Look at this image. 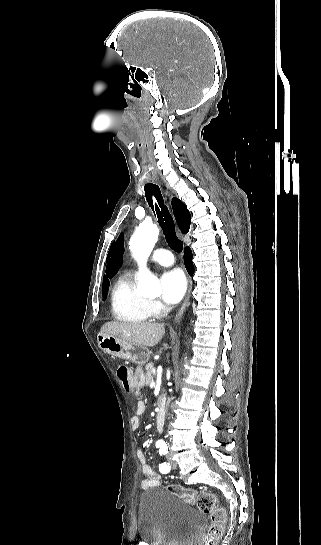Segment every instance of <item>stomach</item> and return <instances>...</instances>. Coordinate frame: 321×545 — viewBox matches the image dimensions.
<instances>
[{
  "label": "stomach",
  "instance_id": "obj_1",
  "mask_svg": "<svg viewBox=\"0 0 321 545\" xmlns=\"http://www.w3.org/2000/svg\"><path fill=\"white\" fill-rule=\"evenodd\" d=\"M96 339L99 349L107 355L131 361L136 365H146L149 361L150 353L145 347H137L134 343H127V341H121L113 335H101V333H98Z\"/></svg>",
  "mask_w": 321,
  "mask_h": 545
}]
</instances>
